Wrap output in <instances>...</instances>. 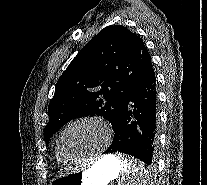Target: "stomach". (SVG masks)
<instances>
[{"mask_svg": "<svg viewBox=\"0 0 207 185\" xmlns=\"http://www.w3.org/2000/svg\"><path fill=\"white\" fill-rule=\"evenodd\" d=\"M124 166L117 155H105L91 167L56 177L52 185H109L122 174Z\"/></svg>", "mask_w": 207, "mask_h": 185, "instance_id": "0dacf381", "label": "stomach"}]
</instances>
